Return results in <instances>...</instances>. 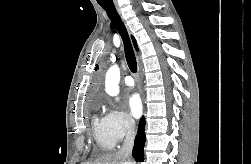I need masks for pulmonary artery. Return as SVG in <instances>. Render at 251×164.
I'll list each match as a JSON object with an SVG mask.
<instances>
[{"instance_id": "e3ab8cb5", "label": "pulmonary artery", "mask_w": 251, "mask_h": 164, "mask_svg": "<svg viewBox=\"0 0 251 164\" xmlns=\"http://www.w3.org/2000/svg\"><path fill=\"white\" fill-rule=\"evenodd\" d=\"M124 82L127 86H134V79L130 75L125 76Z\"/></svg>"}]
</instances>
